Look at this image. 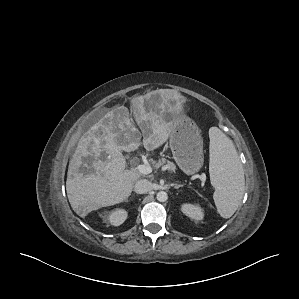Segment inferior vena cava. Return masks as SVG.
<instances>
[{"label":"inferior vena cava","mask_w":299,"mask_h":299,"mask_svg":"<svg viewBox=\"0 0 299 299\" xmlns=\"http://www.w3.org/2000/svg\"><path fill=\"white\" fill-rule=\"evenodd\" d=\"M134 190L138 194H145L152 190V183L146 179H139L135 182Z\"/></svg>","instance_id":"inferior-vena-cava-1"}]
</instances>
